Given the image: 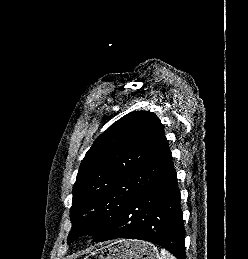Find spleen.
I'll return each instance as SVG.
<instances>
[{"instance_id":"3e777b00","label":"spleen","mask_w":248,"mask_h":259,"mask_svg":"<svg viewBox=\"0 0 248 259\" xmlns=\"http://www.w3.org/2000/svg\"><path fill=\"white\" fill-rule=\"evenodd\" d=\"M160 259H176V258L170 252L162 248Z\"/></svg>"}]
</instances>
